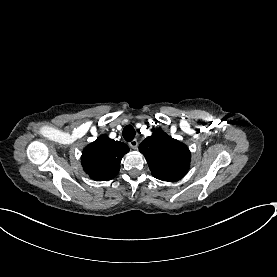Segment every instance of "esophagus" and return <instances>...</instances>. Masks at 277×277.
Segmentation results:
<instances>
[{"label": "esophagus", "mask_w": 277, "mask_h": 277, "mask_svg": "<svg viewBox=\"0 0 277 277\" xmlns=\"http://www.w3.org/2000/svg\"><path fill=\"white\" fill-rule=\"evenodd\" d=\"M129 145H130V147L132 149H134V150L137 149V147H138V141H137V139H133L132 141H130Z\"/></svg>", "instance_id": "esophagus-1"}]
</instances>
